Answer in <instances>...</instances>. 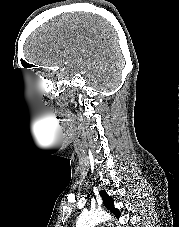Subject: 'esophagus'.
Instances as JSON below:
<instances>
[{"instance_id":"1","label":"esophagus","mask_w":179,"mask_h":227,"mask_svg":"<svg viewBox=\"0 0 179 227\" xmlns=\"http://www.w3.org/2000/svg\"><path fill=\"white\" fill-rule=\"evenodd\" d=\"M107 227H112V224L111 223H107Z\"/></svg>"}]
</instances>
